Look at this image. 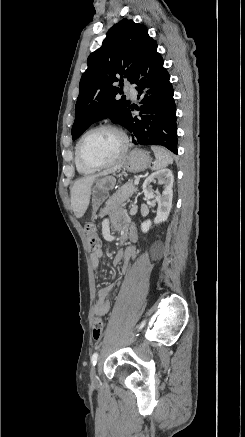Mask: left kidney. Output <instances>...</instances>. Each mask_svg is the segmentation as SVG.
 I'll return each mask as SVG.
<instances>
[{"instance_id":"1","label":"left kidney","mask_w":245,"mask_h":437,"mask_svg":"<svg viewBox=\"0 0 245 437\" xmlns=\"http://www.w3.org/2000/svg\"><path fill=\"white\" fill-rule=\"evenodd\" d=\"M155 179L159 180V183L163 185L162 194L156 193L154 194L151 183L155 181ZM173 182L174 177L172 171L170 169H161L154 173H152L143 183V193L145 198L154 199L158 203L157 215L154 219L155 224L162 223L167 220L169 213L172 208V198H173ZM152 222L147 220L141 224V230L144 233H147L151 227Z\"/></svg>"}]
</instances>
